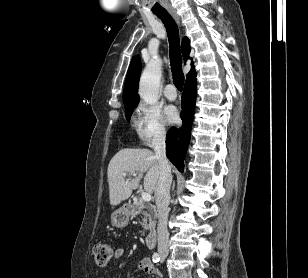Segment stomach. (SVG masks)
Instances as JSON below:
<instances>
[{
  "instance_id": "1",
  "label": "stomach",
  "mask_w": 308,
  "mask_h": 278,
  "mask_svg": "<svg viewBox=\"0 0 308 278\" xmlns=\"http://www.w3.org/2000/svg\"><path fill=\"white\" fill-rule=\"evenodd\" d=\"M129 210L125 207L115 210L111 214V224L115 227L122 228L128 224Z\"/></svg>"
}]
</instances>
